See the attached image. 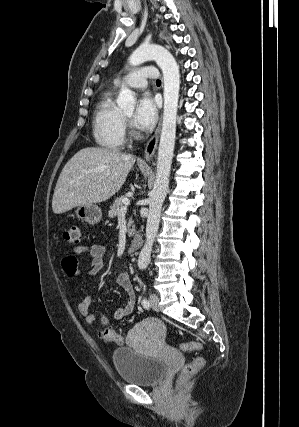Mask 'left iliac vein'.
Instances as JSON below:
<instances>
[{
	"mask_svg": "<svg viewBox=\"0 0 299 427\" xmlns=\"http://www.w3.org/2000/svg\"><path fill=\"white\" fill-rule=\"evenodd\" d=\"M150 305L155 311L160 310L159 297L154 293L150 294Z\"/></svg>",
	"mask_w": 299,
	"mask_h": 427,
	"instance_id": "obj_1",
	"label": "left iliac vein"
}]
</instances>
